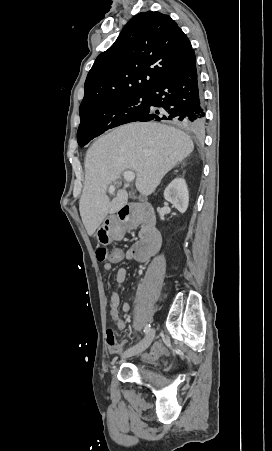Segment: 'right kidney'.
<instances>
[{"mask_svg":"<svg viewBox=\"0 0 272 451\" xmlns=\"http://www.w3.org/2000/svg\"><path fill=\"white\" fill-rule=\"evenodd\" d=\"M164 198L184 214L189 204V192L184 178H175L164 190Z\"/></svg>","mask_w":272,"mask_h":451,"instance_id":"1","label":"right kidney"}]
</instances>
